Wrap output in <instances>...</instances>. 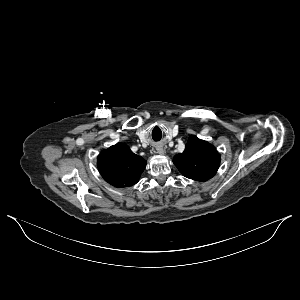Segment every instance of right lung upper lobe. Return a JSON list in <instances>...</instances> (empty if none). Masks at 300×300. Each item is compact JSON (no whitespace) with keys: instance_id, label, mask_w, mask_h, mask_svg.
Instances as JSON below:
<instances>
[{"instance_id":"1","label":"right lung upper lobe","mask_w":300,"mask_h":300,"mask_svg":"<svg viewBox=\"0 0 300 300\" xmlns=\"http://www.w3.org/2000/svg\"><path fill=\"white\" fill-rule=\"evenodd\" d=\"M146 160L134 154L124 143H117L103 150L97 166L102 177L114 187H130L139 181L146 167Z\"/></svg>"}]
</instances>
